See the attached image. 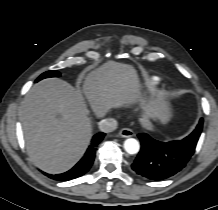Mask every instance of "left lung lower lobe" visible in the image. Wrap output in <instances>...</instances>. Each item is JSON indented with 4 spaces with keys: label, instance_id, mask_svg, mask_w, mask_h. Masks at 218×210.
<instances>
[{
    "label": "left lung lower lobe",
    "instance_id": "obj_1",
    "mask_svg": "<svg viewBox=\"0 0 218 210\" xmlns=\"http://www.w3.org/2000/svg\"><path fill=\"white\" fill-rule=\"evenodd\" d=\"M203 120L196 129L183 140L159 142L146 133L138 134L141 150L132 164L139 175L151 180H162L179 172L193 155Z\"/></svg>",
    "mask_w": 218,
    "mask_h": 210
}]
</instances>
